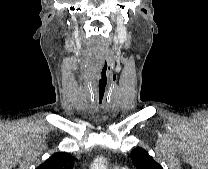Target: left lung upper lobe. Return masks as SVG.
Segmentation results:
<instances>
[{
	"instance_id": "left-lung-upper-lobe-1",
	"label": "left lung upper lobe",
	"mask_w": 208,
	"mask_h": 169,
	"mask_svg": "<svg viewBox=\"0 0 208 169\" xmlns=\"http://www.w3.org/2000/svg\"><path fill=\"white\" fill-rule=\"evenodd\" d=\"M130 156L137 169H163L162 166L142 148L134 149Z\"/></svg>"
}]
</instances>
